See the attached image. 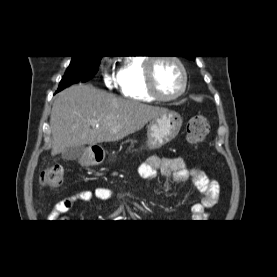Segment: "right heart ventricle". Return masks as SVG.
<instances>
[{
  "label": "right heart ventricle",
  "instance_id": "e07e8e85",
  "mask_svg": "<svg viewBox=\"0 0 277 277\" xmlns=\"http://www.w3.org/2000/svg\"><path fill=\"white\" fill-rule=\"evenodd\" d=\"M146 57L132 56L126 58L118 71L120 93L129 99L140 102H153L145 84Z\"/></svg>",
  "mask_w": 277,
  "mask_h": 277
}]
</instances>
